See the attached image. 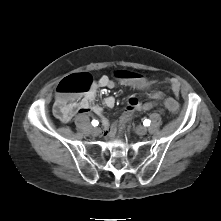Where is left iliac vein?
<instances>
[{"label":"left iliac vein","instance_id":"obj_1","mask_svg":"<svg viewBox=\"0 0 221 221\" xmlns=\"http://www.w3.org/2000/svg\"><path fill=\"white\" fill-rule=\"evenodd\" d=\"M134 131L136 134L143 136L147 133L148 129L143 126H138V127L134 128Z\"/></svg>","mask_w":221,"mask_h":221}]
</instances>
